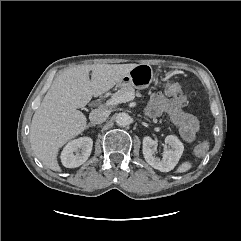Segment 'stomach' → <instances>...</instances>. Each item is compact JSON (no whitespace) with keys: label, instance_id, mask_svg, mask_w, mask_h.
I'll list each match as a JSON object with an SVG mask.
<instances>
[{"label":"stomach","instance_id":"0dacf381","mask_svg":"<svg viewBox=\"0 0 241 241\" xmlns=\"http://www.w3.org/2000/svg\"><path fill=\"white\" fill-rule=\"evenodd\" d=\"M153 79L152 67L149 64H138L117 83V86L125 87L131 85L137 89H145L150 86Z\"/></svg>","mask_w":241,"mask_h":241}]
</instances>
